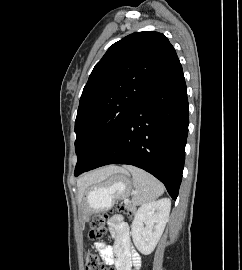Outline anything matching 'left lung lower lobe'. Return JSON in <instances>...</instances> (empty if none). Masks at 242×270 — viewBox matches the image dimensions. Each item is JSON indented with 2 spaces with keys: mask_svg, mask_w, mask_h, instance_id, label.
Instances as JSON below:
<instances>
[{
  "mask_svg": "<svg viewBox=\"0 0 242 270\" xmlns=\"http://www.w3.org/2000/svg\"><path fill=\"white\" fill-rule=\"evenodd\" d=\"M188 113L187 88L177 59L86 171L107 164L133 165L163 182L176 200L185 161Z\"/></svg>",
  "mask_w": 242,
  "mask_h": 270,
  "instance_id": "obj_1",
  "label": "left lung lower lobe"
}]
</instances>
